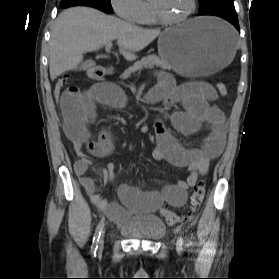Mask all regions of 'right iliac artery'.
Here are the masks:
<instances>
[{"label":"right iliac artery","mask_w":279,"mask_h":279,"mask_svg":"<svg viewBox=\"0 0 279 279\" xmlns=\"http://www.w3.org/2000/svg\"><path fill=\"white\" fill-rule=\"evenodd\" d=\"M103 226H104V220H102L98 224V226L95 230L94 237H93V242H92V247H91V250H92L93 254H95L97 249H98V242H99L102 230H103Z\"/></svg>","instance_id":"1"}]
</instances>
